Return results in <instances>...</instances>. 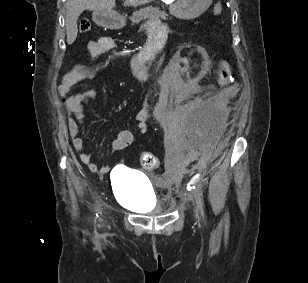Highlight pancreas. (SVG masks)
<instances>
[{"label": "pancreas", "mask_w": 308, "mask_h": 283, "mask_svg": "<svg viewBox=\"0 0 308 283\" xmlns=\"http://www.w3.org/2000/svg\"><path fill=\"white\" fill-rule=\"evenodd\" d=\"M144 19L167 20L168 14L164 11H160L158 8L149 6L145 7L144 9H140L139 11H135L130 17L132 24H137Z\"/></svg>", "instance_id": "cf45deb5"}]
</instances>
